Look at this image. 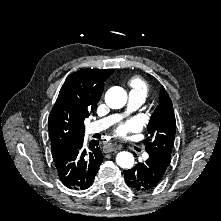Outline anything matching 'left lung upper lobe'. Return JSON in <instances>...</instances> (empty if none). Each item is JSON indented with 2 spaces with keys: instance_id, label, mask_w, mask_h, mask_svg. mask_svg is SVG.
<instances>
[{
  "instance_id": "5c2ea615",
  "label": "left lung upper lobe",
  "mask_w": 221,
  "mask_h": 221,
  "mask_svg": "<svg viewBox=\"0 0 221 221\" xmlns=\"http://www.w3.org/2000/svg\"><path fill=\"white\" fill-rule=\"evenodd\" d=\"M149 137L145 140L147 152H156L171 159L175 139L176 120L171 99L164 87L160 91V103L147 126Z\"/></svg>"
}]
</instances>
